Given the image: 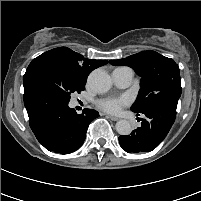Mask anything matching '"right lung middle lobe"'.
<instances>
[{
	"mask_svg": "<svg viewBox=\"0 0 201 201\" xmlns=\"http://www.w3.org/2000/svg\"><path fill=\"white\" fill-rule=\"evenodd\" d=\"M24 87L49 91L66 101L74 92L85 89V83L71 76L66 69L55 60H46L32 67L23 79Z\"/></svg>",
	"mask_w": 201,
	"mask_h": 201,
	"instance_id": "obj_1",
	"label": "right lung middle lobe"
}]
</instances>
